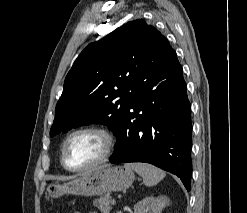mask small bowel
I'll list each match as a JSON object with an SVG mask.
<instances>
[{
  "instance_id": "c3829d8e",
  "label": "small bowel",
  "mask_w": 247,
  "mask_h": 213,
  "mask_svg": "<svg viewBox=\"0 0 247 213\" xmlns=\"http://www.w3.org/2000/svg\"><path fill=\"white\" fill-rule=\"evenodd\" d=\"M75 213H80V212H75ZM89 213H97V212H89Z\"/></svg>"
}]
</instances>
